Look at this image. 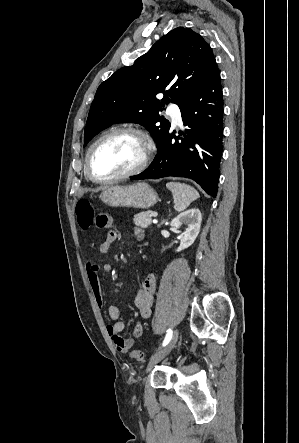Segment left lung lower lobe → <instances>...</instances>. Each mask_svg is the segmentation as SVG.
<instances>
[{
	"label": "left lung lower lobe",
	"instance_id": "0a47b994",
	"mask_svg": "<svg viewBox=\"0 0 299 443\" xmlns=\"http://www.w3.org/2000/svg\"><path fill=\"white\" fill-rule=\"evenodd\" d=\"M185 132L169 131L161 140L151 165L132 180L168 176L196 181L209 195L218 190L222 155L223 95L220 72L215 62L207 77L179 106Z\"/></svg>",
	"mask_w": 299,
	"mask_h": 443
}]
</instances>
